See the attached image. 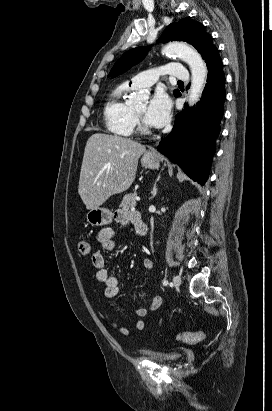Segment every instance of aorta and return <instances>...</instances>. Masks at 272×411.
<instances>
[{
  "mask_svg": "<svg viewBox=\"0 0 272 411\" xmlns=\"http://www.w3.org/2000/svg\"><path fill=\"white\" fill-rule=\"evenodd\" d=\"M164 53L168 55L178 56L186 62L192 74L191 88L188 95V104L194 105L202 94L207 78V67L200 54L193 48L184 43L173 42L165 46ZM134 100H141L144 98L142 93H134L132 95Z\"/></svg>",
  "mask_w": 272,
  "mask_h": 411,
  "instance_id": "obj_1",
  "label": "aorta"
}]
</instances>
